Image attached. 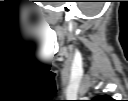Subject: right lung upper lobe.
I'll use <instances>...</instances> for the list:
<instances>
[{"label":"right lung upper lobe","mask_w":128,"mask_h":101,"mask_svg":"<svg viewBox=\"0 0 128 101\" xmlns=\"http://www.w3.org/2000/svg\"><path fill=\"white\" fill-rule=\"evenodd\" d=\"M99 98V100L100 101H110L111 100V98L110 97H108V96H101V97H98Z\"/></svg>","instance_id":"obj_1"}]
</instances>
